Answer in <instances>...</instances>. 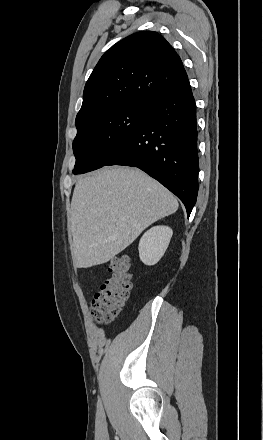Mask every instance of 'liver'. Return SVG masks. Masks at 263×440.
I'll use <instances>...</instances> for the list:
<instances>
[{
	"label": "liver",
	"instance_id": "1",
	"mask_svg": "<svg viewBox=\"0 0 263 440\" xmlns=\"http://www.w3.org/2000/svg\"><path fill=\"white\" fill-rule=\"evenodd\" d=\"M178 206L172 193L136 168H104L80 179L69 219L74 265L89 268L108 262Z\"/></svg>",
	"mask_w": 263,
	"mask_h": 440
}]
</instances>
